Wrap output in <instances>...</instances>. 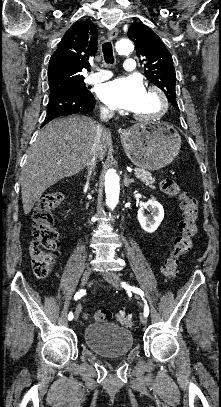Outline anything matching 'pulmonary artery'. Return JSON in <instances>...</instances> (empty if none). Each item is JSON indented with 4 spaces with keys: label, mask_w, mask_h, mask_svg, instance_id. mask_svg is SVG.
<instances>
[{
    "label": "pulmonary artery",
    "mask_w": 221,
    "mask_h": 407,
    "mask_svg": "<svg viewBox=\"0 0 221 407\" xmlns=\"http://www.w3.org/2000/svg\"><path fill=\"white\" fill-rule=\"evenodd\" d=\"M124 70L126 73H133L136 70V63L134 60V56H127L124 58ZM112 77L111 71L107 69H102L97 73H94L89 76L88 82L92 84L103 82Z\"/></svg>",
    "instance_id": "1"
}]
</instances>
